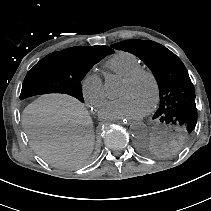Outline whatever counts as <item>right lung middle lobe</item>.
I'll return each mask as SVG.
<instances>
[{
    "mask_svg": "<svg viewBox=\"0 0 211 211\" xmlns=\"http://www.w3.org/2000/svg\"><path fill=\"white\" fill-rule=\"evenodd\" d=\"M105 56L69 48L47 55L27 73L20 99L45 93H65L83 102L81 80Z\"/></svg>",
    "mask_w": 211,
    "mask_h": 211,
    "instance_id": "dd1d6c3e",
    "label": "right lung middle lobe"
}]
</instances>
